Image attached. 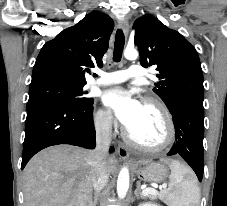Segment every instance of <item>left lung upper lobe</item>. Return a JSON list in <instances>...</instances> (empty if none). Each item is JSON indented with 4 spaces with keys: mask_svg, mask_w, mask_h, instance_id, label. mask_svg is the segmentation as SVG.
Here are the masks:
<instances>
[{
    "mask_svg": "<svg viewBox=\"0 0 227 206\" xmlns=\"http://www.w3.org/2000/svg\"><path fill=\"white\" fill-rule=\"evenodd\" d=\"M134 29L140 63L157 66L159 81L153 91L169 111L182 102L203 104V73L195 48L179 32L148 14L135 21Z\"/></svg>",
    "mask_w": 227,
    "mask_h": 206,
    "instance_id": "1",
    "label": "left lung upper lobe"
}]
</instances>
